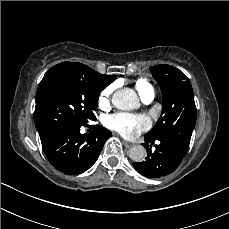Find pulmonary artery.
<instances>
[{
    "mask_svg": "<svg viewBox=\"0 0 229 229\" xmlns=\"http://www.w3.org/2000/svg\"><path fill=\"white\" fill-rule=\"evenodd\" d=\"M154 94H148L147 96L143 97L142 100L145 104H149L153 101Z\"/></svg>",
    "mask_w": 229,
    "mask_h": 229,
    "instance_id": "1",
    "label": "pulmonary artery"
}]
</instances>
